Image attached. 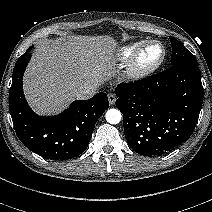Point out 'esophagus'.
I'll return each mask as SVG.
<instances>
[{
    "mask_svg": "<svg viewBox=\"0 0 212 212\" xmlns=\"http://www.w3.org/2000/svg\"><path fill=\"white\" fill-rule=\"evenodd\" d=\"M108 101L110 103V105H113L116 101V97L113 94H108Z\"/></svg>",
    "mask_w": 212,
    "mask_h": 212,
    "instance_id": "1",
    "label": "esophagus"
}]
</instances>
